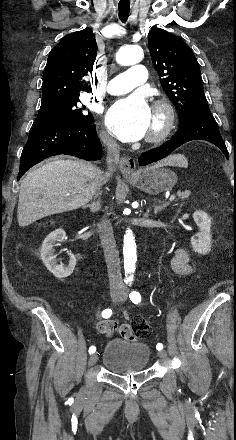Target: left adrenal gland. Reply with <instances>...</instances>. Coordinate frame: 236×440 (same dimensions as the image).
<instances>
[{
    "mask_svg": "<svg viewBox=\"0 0 236 440\" xmlns=\"http://www.w3.org/2000/svg\"><path fill=\"white\" fill-rule=\"evenodd\" d=\"M168 205H169L168 202L163 203V204L160 205V206H157V205H156L155 208H154V213L157 214L158 212H160V211H162L163 209H165Z\"/></svg>",
    "mask_w": 236,
    "mask_h": 440,
    "instance_id": "a2214340",
    "label": "left adrenal gland"
}]
</instances>
